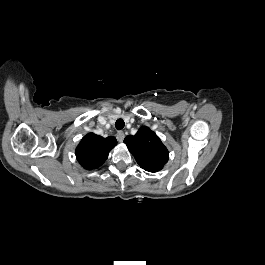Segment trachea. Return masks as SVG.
<instances>
[{
  "label": "trachea",
  "mask_w": 265,
  "mask_h": 265,
  "mask_svg": "<svg viewBox=\"0 0 265 265\" xmlns=\"http://www.w3.org/2000/svg\"><path fill=\"white\" fill-rule=\"evenodd\" d=\"M125 126V123L122 119H118L115 123V127L118 129V130H121L123 129Z\"/></svg>",
  "instance_id": "3493384b"
}]
</instances>
